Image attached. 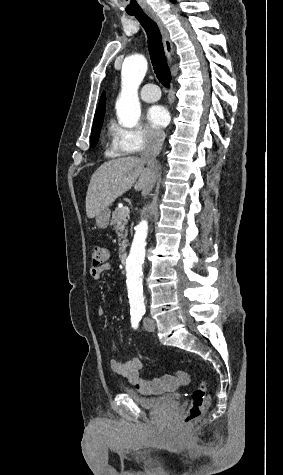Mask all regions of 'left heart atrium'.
I'll list each match as a JSON object with an SVG mask.
<instances>
[{"mask_svg":"<svg viewBox=\"0 0 283 475\" xmlns=\"http://www.w3.org/2000/svg\"><path fill=\"white\" fill-rule=\"evenodd\" d=\"M147 119L152 127L156 129H162L168 125L170 115L165 107L161 105H155L149 108L147 112Z\"/></svg>","mask_w":283,"mask_h":475,"instance_id":"obj_1","label":"left heart atrium"}]
</instances>
